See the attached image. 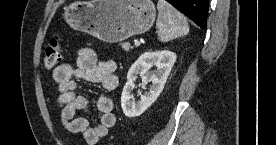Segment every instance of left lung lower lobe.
<instances>
[{
    "label": "left lung lower lobe",
    "mask_w": 276,
    "mask_h": 145,
    "mask_svg": "<svg viewBox=\"0 0 276 145\" xmlns=\"http://www.w3.org/2000/svg\"><path fill=\"white\" fill-rule=\"evenodd\" d=\"M176 9L192 19L199 27L206 29L208 0H167Z\"/></svg>",
    "instance_id": "0a47b994"
}]
</instances>
